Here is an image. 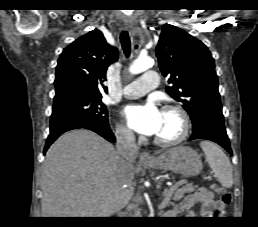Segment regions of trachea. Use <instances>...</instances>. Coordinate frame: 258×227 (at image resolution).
Segmentation results:
<instances>
[{"mask_svg": "<svg viewBox=\"0 0 258 227\" xmlns=\"http://www.w3.org/2000/svg\"><path fill=\"white\" fill-rule=\"evenodd\" d=\"M120 42L125 55L129 57L131 53V42H130V37L128 35V32L122 31L120 35Z\"/></svg>", "mask_w": 258, "mask_h": 227, "instance_id": "3493384b", "label": "trachea"}]
</instances>
